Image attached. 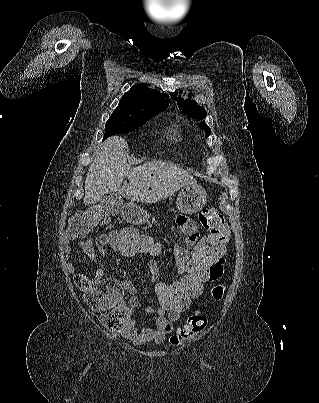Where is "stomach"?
<instances>
[{
    "mask_svg": "<svg viewBox=\"0 0 319 403\" xmlns=\"http://www.w3.org/2000/svg\"><path fill=\"white\" fill-rule=\"evenodd\" d=\"M207 194L200 185H186L180 191L177 197V208L183 214H193L199 211L206 203ZM147 215L138 207H133L132 215L129 216L130 224H139L141 227L146 226Z\"/></svg>",
    "mask_w": 319,
    "mask_h": 403,
    "instance_id": "obj_1",
    "label": "stomach"
}]
</instances>
